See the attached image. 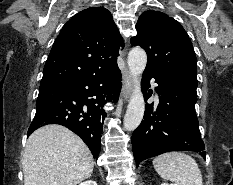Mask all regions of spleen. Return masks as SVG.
I'll list each match as a JSON object with an SVG mask.
<instances>
[{
	"label": "spleen",
	"instance_id": "obj_1",
	"mask_svg": "<svg viewBox=\"0 0 233 185\" xmlns=\"http://www.w3.org/2000/svg\"><path fill=\"white\" fill-rule=\"evenodd\" d=\"M156 172L175 185H203L202 174L196 161L182 152H169L153 160Z\"/></svg>",
	"mask_w": 233,
	"mask_h": 185
}]
</instances>
